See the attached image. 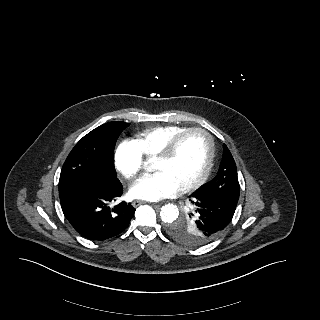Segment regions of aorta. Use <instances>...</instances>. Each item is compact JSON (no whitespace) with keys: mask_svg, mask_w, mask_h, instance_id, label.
<instances>
[{"mask_svg":"<svg viewBox=\"0 0 320 320\" xmlns=\"http://www.w3.org/2000/svg\"><path fill=\"white\" fill-rule=\"evenodd\" d=\"M179 216L178 207L174 204H166L161 208L160 218L165 223L174 222Z\"/></svg>","mask_w":320,"mask_h":320,"instance_id":"762f6f07","label":"aorta"}]
</instances>
